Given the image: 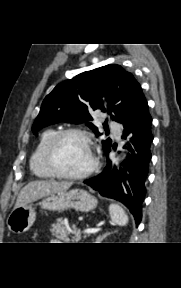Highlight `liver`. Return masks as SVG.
Listing matches in <instances>:
<instances>
[{"instance_id": "liver-1", "label": "liver", "mask_w": 181, "mask_h": 288, "mask_svg": "<svg viewBox=\"0 0 181 288\" xmlns=\"http://www.w3.org/2000/svg\"><path fill=\"white\" fill-rule=\"evenodd\" d=\"M72 186V182H56L52 180H37L28 183L20 191L14 209L27 205L38 199L56 193L65 192Z\"/></svg>"}]
</instances>
